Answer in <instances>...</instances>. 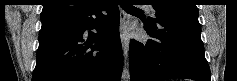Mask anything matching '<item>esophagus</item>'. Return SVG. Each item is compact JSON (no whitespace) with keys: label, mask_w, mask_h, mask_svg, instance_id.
<instances>
[{"label":"esophagus","mask_w":237,"mask_h":81,"mask_svg":"<svg viewBox=\"0 0 237 81\" xmlns=\"http://www.w3.org/2000/svg\"><path fill=\"white\" fill-rule=\"evenodd\" d=\"M127 19V15L126 13L121 9L120 10V26L121 29L125 23ZM121 44H122V48H123V52H124V56L127 58L128 55V50H129V44H130V38L127 34H125L124 32H121Z\"/></svg>","instance_id":"34e87169"}]
</instances>
